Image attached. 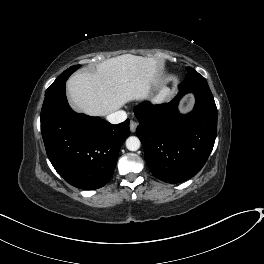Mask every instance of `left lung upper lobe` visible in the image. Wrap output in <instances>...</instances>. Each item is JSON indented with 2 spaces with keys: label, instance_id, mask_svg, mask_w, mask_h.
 I'll use <instances>...</instances> for the list:
<instances>
[{
  "label": "left lung upper lobe",
  "instance_id": "left-lung-upper-lobe-1",
  "mask_svg": "<svg viewBox=\"0 0 264 264\" xmlns=\"http://www.w3.org/2000/svg\"><path fill=\"white\" fill-rule=\"evenodd\" d=\"M205 80V78L196 72L193 68L188 69V73L186 74L185 81H199Z\"/></svg>",
  "mask_w": 264,
  "mask_h": 264
}]
</instances>
